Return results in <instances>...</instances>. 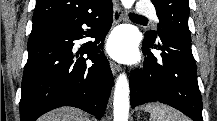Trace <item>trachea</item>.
Segmentation results:
<instances>
[{
    "mask_svg": "<svg viewBox=\"0 0 217 121\" xmlns=\"http://www.w3.org/2000/svg\"><path fill=\"white\" fill-rule=\"evenodd\" d=\"M130 16H132V17H140V18L143 17V16H140V15H137V14H134V13H130Z\"/></svg>",
    "mask_w": 217,
    "mask_h": 121,
    "instance_id": "1",
    "label": "trachea"
}]
</instances>
